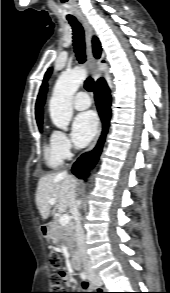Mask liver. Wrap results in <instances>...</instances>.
Segmentation results:
<instances>
[{
    "mask_svg": "<svg viewBox=\"0 0 170 293\" xmlns=\"http://www.w3.org/2000/svg\"><path fill=\"white\" fill-rule=\"evenodd\" d=\"M77 180L66 172L49 174L41 177L36 191V205L43 219H47L56 210L60 213L71 209V193ZM56 199L55 208L51 211L49 200Z\"/></svg>",
    "mask_w": 170,
    "mask_h": 293,
    "instance_id": "6515ba94",
    "label": "liver"
}]
</instances>
